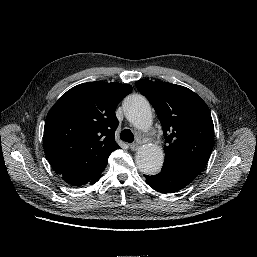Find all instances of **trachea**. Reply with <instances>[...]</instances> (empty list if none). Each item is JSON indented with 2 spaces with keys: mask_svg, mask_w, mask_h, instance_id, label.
<instances>
[{
  "mask_svg": "<svg viewBox=\"0 0 257 257\" xmlns=\"http://www.w3.org/2000/svg\"><path fill=\"white\" fill-rule=\"evenodd\" d=\"M120 139L125 142L132 143L134 141V135L130 129H124L120 134Z\"/></svg>",
  "mask_w": 257,
  "mask_h": 257,
  "instance_id": "3493384b",
  "label": "trachea"
}]
</instances>
